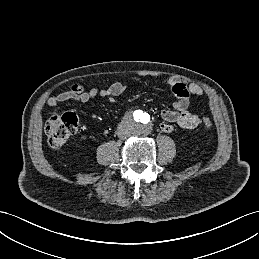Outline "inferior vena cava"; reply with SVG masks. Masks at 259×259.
<instances>
[{
  "instance_id": "inferior-vena-cava-1",
  "label": "inferior vena cava",
  "mask_w": 259,
  "mask_h": 259,
  "mask_svg": "<svg viewBox=\"0 0 259 259\" xmlns=\"http://www.w3.org/2000/svg\"><path fill=\"white\" fill-rule=\"evenodd\" d=\"M117 134L121 139H125L127 137V134L120 130L117 132Z\"/></svg>"
}]
</instances>
